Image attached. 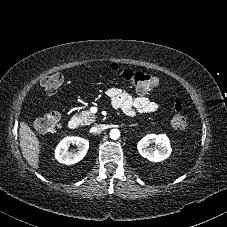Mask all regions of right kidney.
Returning <instances> with one entry per match:
<instances>
[{
  "instance_id": "ca27d5eb",
  "label": "right kidney",
  "mask_w": 227,
  "mask_h": 227,
  "mask_svg": "<svg viewBox=\"0 0 227 227\" xmlns=\"http://www.w3.org/2000/svg\"><path fill=\"white\" fill-rule=\"evenodd\" d=\"M71 144H75L77 146L76 151H68ZM88 148V140L80 137H66L57 145L55 150V158L63 164H75L84 158Z\"/></svg>"
}]
</instances>
